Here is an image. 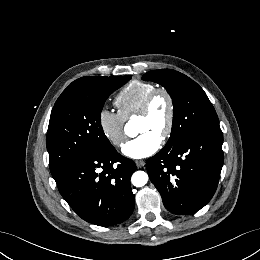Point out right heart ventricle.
I'll return each instance as SVG.
<instances>
[{"instance_id":"obj_1","label":"right heart ventricle","mask_w":260,"mask_h":260,"mask_svg":"<svg viewBox=\"0 0 260 260\" xmlns=\"http://www.w3.org/2000/svg\"><path fill=\"white\" fill-rule=\"evenodd\" d=\"M155 88L156 86L150 82L140 80L130 82L115 98L119 114L125 120L137 114L144 98Z\"/></svg>"}]
</instances>
